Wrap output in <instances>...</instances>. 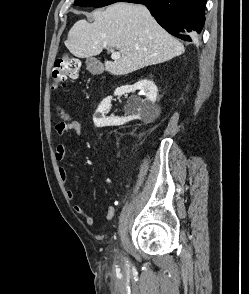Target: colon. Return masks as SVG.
<instances>
[{
	"mask_svg": "<svg viewBox=\"0 0 249 294\" xmlns=\"http://www.w3.org/2000/svg\"><path fill=\"white\" fill-rule=\"evenodd\" d=\"M79 76V61L69 55H62L55 61L52 70V82L55 88L65 85L66 81Z\"/></svg>",
	"mask_w": 249,
	"mask_h": 294,
	"instance_id": "colon-1",
	"label": "colon"
}]
</instances>
